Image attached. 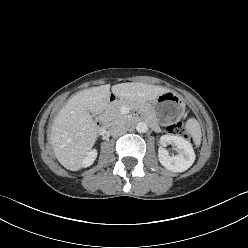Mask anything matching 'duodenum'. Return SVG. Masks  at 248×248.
Masks as SVG:
<instances>
[{"instance_id":"duodenum-1","label":"duodenum","mask_w":248,"mask_h":248,"mask_svg":"<svg viewBox=\"0 0 248 248\" xmlns=\"http://www.w3.org/2000/svg\"><path fill=\"white\" fill-rule=\"evenodd\" d=\"M116 99H117V96L115 94L111 93L109 96V103L116 101ZM105 123H106V121H105L104 116H99L96 119V126L100 130L101 133L105 132Z\"/></svg>"}]
</instances>
